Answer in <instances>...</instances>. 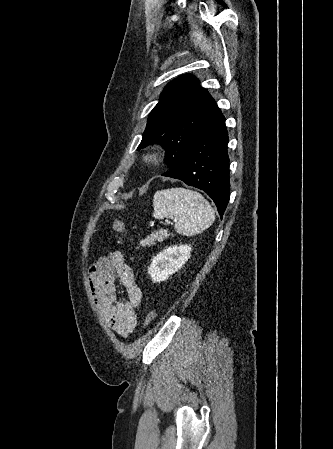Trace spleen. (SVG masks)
I'll return each mask as SVG.
<instances>
[{
    "label": "spleen",
    "instance_id": "obj_1",
    "mask_svg": "<svg viewBox=\"0 0 333 449\" xmlns=\"http://www.w3.org/2000/svg\"><path fill=\"white\" fill-rule=\"evenodd\" d=\"M153 208L155 218H172L176 232L183 235L198 234L215 220L210 203L199 192L182 187L158 190Z\"/></svg>",
    "mask_w": 333,
    "mask_h": 449
}]
</instances>
